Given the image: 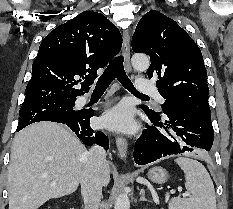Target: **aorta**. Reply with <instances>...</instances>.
<instances>
[{"label":"aorta","mask_w":233,"mask_h":209,"mask_svg":"<svg viewBox=\"0 0 233 209\" xmlns=\"http://www.w3.org/2000/svg\"><path fill=\"white\" fill-rule=\"evenodd\" d=\"M132 66L137 71H146L150 66V60L148 56L144 54H135L131 59ZM130 200L128 196V191L122 192L116 199L114 209H129Z\"/></svg>","instance_id":"762f6f07"}]
</instances>
